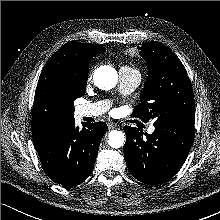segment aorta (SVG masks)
Listing matches in <instances>:
<instances>
[{
  "label": "aorta",
  "mask_w": 220,
  "mask_h": 220,
  "mask_svg": "<svg viewBox=\"0 0 220 220\" xmlns=\"http://www.w3.org/2000/svg\"><path fill=\"white\" fill-rule=\"evenodd\" d=\"M118 82L117 71L110 66H101L94 73V83L102 90H110ZM124 133L122 131L112 130L109 133L108 144L112 148H120L124 144Z\"/></svg>",
  "instance_id": "obj_1"
}]
</instances>
